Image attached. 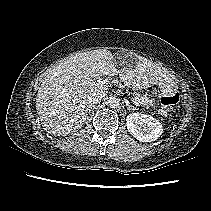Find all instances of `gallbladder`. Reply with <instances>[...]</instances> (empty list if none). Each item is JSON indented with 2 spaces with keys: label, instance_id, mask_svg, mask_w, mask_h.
<instances>
[{
  "label": "gallbladder",
  "instance_id": "gallbladder-1",
  "mask_svg": "<svg viewBox=\"0 0 211 211\" xmlns=\"http://www.w3.org/2000/svg\"><path fill=\"white\" fill-rule=\"evenodd\" d=\"M128 53L127 52H119L116 54V57L119 58V57H124V56H127Z\"/></svg>",
  "mask_w": 211,
  "mask_h": 211
}]
</instances>
